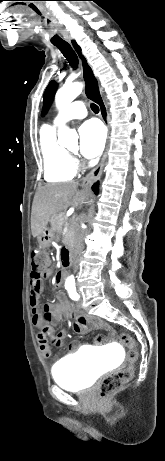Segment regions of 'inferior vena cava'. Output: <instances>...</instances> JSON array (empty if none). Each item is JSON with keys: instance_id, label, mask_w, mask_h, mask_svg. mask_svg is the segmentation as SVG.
Returning <instances> with one entry per match:
<instances>
[{"instance_id": "602c4592", "label": "inferior vena cava", "mask_w": 165, "mask_h": 461, "mask_svg": "<svg viewBox=\"0 0 165 461\" xmlns=\"http://www.w3.org/2000/svg\"><path fill=\"white\" fill-rule=\"evenodd\" d=\"M83 220L84 218H82L81 222ZM83 238L84 230L81 227H79L76 233L75 244L73 249V266L75 271L78 269L79 256L83 250Z\"/></svg>"}]
</instances>
